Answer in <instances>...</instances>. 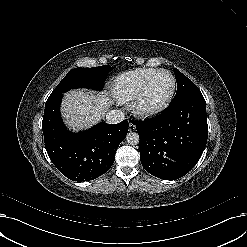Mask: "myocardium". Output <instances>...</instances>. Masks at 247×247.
<instances>
[{
    "label": "myocardium",
    "mask_w": 247,
    "mask_h": 247,
    "mask_svg": "<svg viewBox=\"0 0 247 247\" xmlns=\"http://www.w3.org/2000/svg\"><path fill=\"white\" fill-rule=\"evenodd\" d=\"M165 73L169 75L172 81V88L168 96L161 102L156 103V104H146L144 102V97L147 93L148 87L150 86L151 82L154 80V78L161 74ZM176 90V79L174 75L166 69H159L157 70L154 74H152L148 80L144 83L143 87L139 91V93L132 99L131 101V108L135 116L139 118H148L151 116H154L161 111H163L172 101L173 96L175 94Z\"/></svg>",
    "instance_id": "1"
}]
</instances>
